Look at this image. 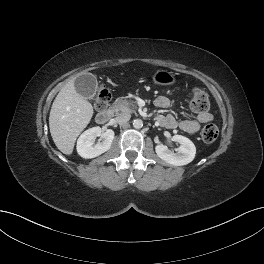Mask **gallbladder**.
<instances>
[{
    "mask_svg": "<svg viewBox=\"0 0 264 264\" xmlns=\"http://www.w3.org/2000/svg\"><path fill=\"white\" fill-rule=\"evenodd\" d=\"M76 91L87 99H93L97 90V79L93 74H83L75 79Z\"/></svg>",
    "mask_w": 264,
    "mask_h": 264,
    "instance_id": "obj_1",
    "label": "gallbladder"
}]
</instances>
